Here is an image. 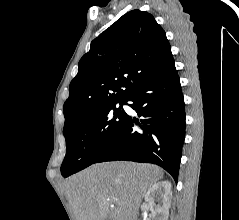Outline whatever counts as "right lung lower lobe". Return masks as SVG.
Masks as SVG:
<instances>
[{
	"mask_svg": "<svg viewBox=\"0 0 239 220\" xmlns=\"http://www.w3.org/2000/svg\"><path fill=\"white\" fill-rule=\"evenodd\" d=\"M140 121L126 116L109 145L94 163L128 160L153 163L177 182L185 138V108L174 60L148 78L125 100ZM137 125L138 130H133Z\"/></svg>",
	"mask_w": 239,
	"mask_h": 220,
	"instance_id": "right-lung-lower-lobe-1",
	"label": "right lung lower lobe"
}]
</instances>
